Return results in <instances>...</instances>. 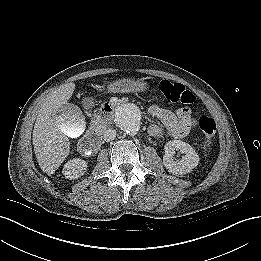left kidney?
I'll use <instances>...</instances> for the list:
<instances>
[{"label": "left kidney", "mask_w": 261, "mask_h": 261, "mask_svg": "<svg viewBox=\"0 0 261 261\" xmlns=\"http://www.w3.org/2000/svg\"><path fill=\"white\" fill-rule=\"evenodd\" d=\"M164 150L163 164L173 174L183 175L189 173L199 163V156L196 151L188 143L181 140L168 141L164 146ZM176 151L185 154L181 160L174 159Z\"/></svg>", "instance_id": "left-kidney-1"}]
</instances>
